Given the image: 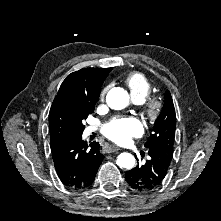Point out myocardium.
<instances>
[{
	"label": "myocardium",
	"instance_id": "1",
	"mask_svg": "<svg viewBox=\"0 0 221 221\" xmlns=\"http://www.w3.org/2000/svg\"><path fill=\"white\" fill-rule=\"evenodd\" d=\"M161 112V101L154 97L146 104L144 114L147 121L154 124L159 118Z\"/></svg>",
	"mask_w": 221,
	"mask_h": 221
}]
</instances>
